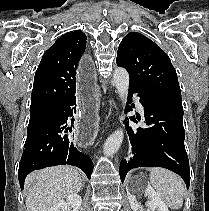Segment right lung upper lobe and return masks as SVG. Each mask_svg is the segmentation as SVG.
I'll list each match as a JSON object with an SVG mask.
<instances>
[{"instance_id": "obj_1", "label": "right lung upper lobe", "mask_w": 209, "mask_h": 211, "mask_svg": "<svg viewBox=\"0 0 209 211\" xmlns=\"http://www.w3.org/2000/svg\"><path fill=\"white\" fill-rule=\"evenodd\" d=\"M86 48V35L71 31L43 55L35 73L30 112L49 110L76 93V70Z\"/></svg>"}]
</instances>
